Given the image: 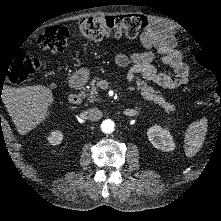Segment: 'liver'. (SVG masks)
<instances>
[{
  "label": "liver",
  "mask_w": 221,
  "mask_h": 221,
  "mask_svg": "<svg viewBox=\"0 0 221 221\" xmlns=\"http://www.w3.org/2000/svg\"><path fill=\"white\" fill-rule=\"evenodd\" d=\"M5 100L18 133L26 135L46 118L54 98L45 87L25 86L6 89Z\"/></svg>",
  "instance_id": "6515ba94"
}]
</instances>
